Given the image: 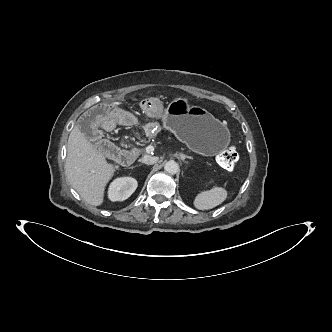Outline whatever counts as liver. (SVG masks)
Listing matches in <instances>:
<instances>
[{"instance_id": "liver-1", "label": "liver", "mask_w": 332, "mask_h": 332, "mask_svg": "<svg viewBox=\"0 0 332 332\" xmlns=\"http://www.w3.org/2000/svg\"><path fill=\"white\" fill-rule=\"evenodd\" d=\"M65 171L79 195L90 205L99 206L104 201L105 187L115 168L75 126L68 138Z\"/></svg>"}]
</instances>
